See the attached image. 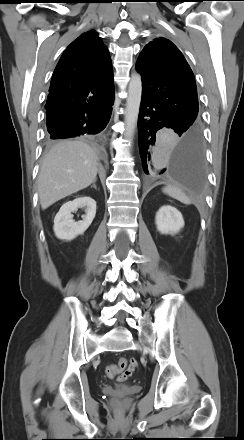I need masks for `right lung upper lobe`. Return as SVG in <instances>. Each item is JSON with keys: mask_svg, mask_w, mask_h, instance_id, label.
Listing matches in <instances>:
<instances>
[{"mask_svg": "<svg viewBox=\"0 0 244 440\" xmlns=\"http://www.w3.org/2000/svg\"><path fill=\"white\" fill-rule=\"evenodd\" d=\"M113 95L108 49L91 30L73 41L60 58L49 88L47 116L90 112Z\"/></svg>", "mask_w": 244, "mask_h": 440, "instance_id": "cb5924a9", "label": "right lung upper lobe"}]
</instances>
